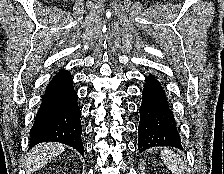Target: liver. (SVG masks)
I'll return each instance as SVG.
<instances>
[{
	"mask_svg": "<svg viewBox=\"0 0 224 174\" xmlns=\"http://www.w3.org/2000/svg\"><path fill=\"white\" fill-rule=\"evenodd\" d=\"M65 147L60 143H41L33 147L25 161V170L31 174L48 163L52 158L60 155Z\"/></svg>",
	"mask_w": 224,
	"mask_h": 174,
	"instance_id": "6515ba94",
	"label": "liver"
}]
</instances>
